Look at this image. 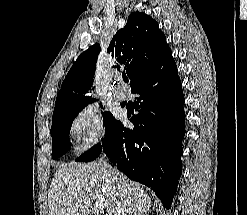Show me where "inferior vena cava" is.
<instances>
[{"mask_svg": "<svg viewBox=\"0 0 247 215\" xmlns=\"http://www.w3.org/2000/svg\"><path fill=\"white\" fill-rule=\"evenodd\" d=\"M101 163H102L104 168H106V169H110L111 168L110 165L107 163V161L105 159H101ZM112 175H113V173H112ZM113 179H116L115 175H113Z\"/></svg>", "mask_w": 247, "mask_h": 215, "instance_id": "obj_1", "label": "inferior vena cava"}]
</instances>
